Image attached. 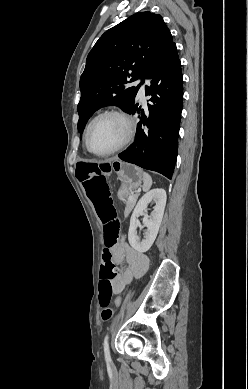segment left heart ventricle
Instances as JSON below:
<instances>
[{
	"label": "left heart ventricle",
	"instance_id": "obj_1",
	"mask_svg": "<svg viewBox=\"0 0 248 389\" xmlns=\"http://www.w3.org/2000/svg\"><path fill=\"white\" fill-rule=\"evenodd\" d=\"M125 131V125L119 118L114 116L103 117L91 127L89 146L96 152L108 151L122 141Z\"/></svg>",
	"mask_w": 248,
	"mask_h": 389
}]
</instances>
